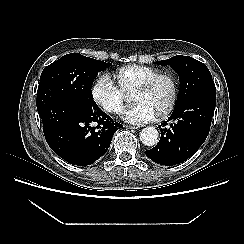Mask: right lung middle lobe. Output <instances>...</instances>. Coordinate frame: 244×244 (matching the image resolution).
<instances>
[{"label": "right lung middle lobe", "instance_id": "right-lung-middle-lobe-1", "mask_svg": "<svg viewBox=\"0 0 244 244\" xmlns=\"http://www.w3.org/2000/svg\"><path fill=\"white\" fill-rule=\"evenodd\" d=\"M96 59L72 53L46 67L40 77L37 91V110L61 101L95 105L91 86L100 70L109 67Z\"/></svg>", "mask_w": 244, "mask_h": 244}]
</instances>
